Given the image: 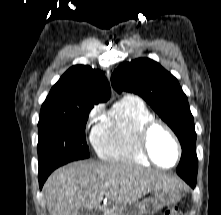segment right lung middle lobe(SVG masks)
<instances>
[{"label": "right lung middle lobe", "instance_id": "obj_1", "mask_svg": "<svg viewBox=\"0 0 221 215\" xmlns=\"http://www.w3.org/2000/svg\"><path fill=\"white\" fill-rule=\"evenodd\" d=\"M94 104L42 105L38 130L39 171L89 157L85 138Z\"/></svg>", "mask_w": 221, "mask_h": 215}]
</instances>
